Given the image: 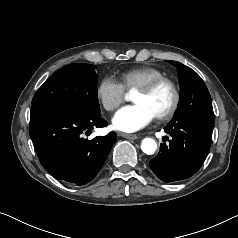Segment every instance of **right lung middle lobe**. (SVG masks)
Wrapping results in <instances>:
<instances>
[{"label":"right lung middle lobe","mask_w":238,"mask_h":238,"mask_svg":"<svg viewBox=\"0 0 238 238\" xmlns=\"http://www.w3.org/2000/svg\"><path fill=\"white\" fill-rule=\"evenodd\" d=\"M97 74L90 64H69L55 72L39 88L32 107H67L100 113Z\"/></svg>","instance_id":"right-lung-middle-lobe-1"}]
</instances>
